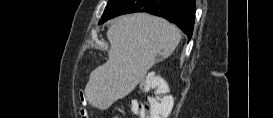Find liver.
Here are the masks:
<instances>
[{
  "label": "liver",
  "instance_id": "6515ba94",
  "mask_svg": "<svg viewBox=\"0 0 273 118\" xmlns=\"http://www.w3.org/2000/svg\"><path fill=\"white\" fill-rule=\"evenodd\" d=\"M108 61L90 74L89 103L101 110L130 94L156 61L168 58L181 40L180 30L147 13L116 18L107 31Z\"/></svg>",
  "mask_w": 273,
  "mask_h": 118
}]
</instances>
